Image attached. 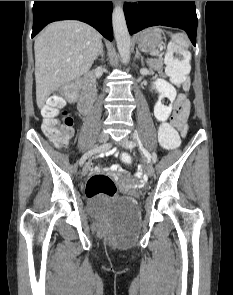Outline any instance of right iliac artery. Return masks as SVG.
<instances>
[{
	"label": "right iliac artery",
	"mask_w": 233,
	"mask_h": 295,
	"mask_svg": "<svg viewBox=\"0 0 233 295\" xmlns=\"http://www.w3.org/2000/svg\"><path fill=\"white\" fill-rule=\"evenodd\" d=\"M106 148L108 149V145L107 144H101V147H96V148H91V151L85 153L82 158L80 159V165H83V163L85 162V160L92 156L94 153H103V150H106Z\"/></svg>",
	"instance_id": "obj_1"
}]
</instances>
